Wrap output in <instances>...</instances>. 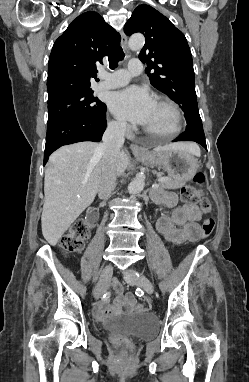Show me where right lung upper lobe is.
I'll list each match as a JSON object with an SVG mask.
<instances>
[{"label":"right lung upper lobe","mask_w":249,"mask_h":382,"mask_svg":"<svg viewBox=\"0 0 249 382\" xmlns=\"http://www.w3.org/2000/svg\"><path fill=\"white\" fill-rule=\"evenodd\" d=\"M116 30L94 11L78 16L55 41L48 62V103L90 88L96 65L119 43Z\"/></svg>","instance_id":"right-lung-upper-lobe-1"}]
</instances>
